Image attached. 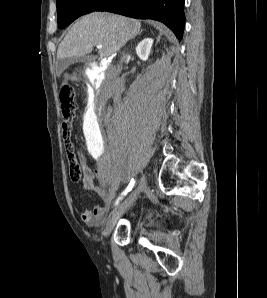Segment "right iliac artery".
I'll return each mask as SVG.
<instances>
[{"instance_id": "82829eb1", "label": "right iliac artery", "mask_w": 267, "mask_h": 298, "mask_svg": "<svg viewBox=\"0 0 267 298\" xmlns=\"http://www.w3.org/2000/svg\"><path fill=\"white\" fill-rule=\"evenodd\" d=\"M133 186H134V179H131V182H130L129 185L127 186L126 190L123 191V192L119 195V197L116 199V201L114 202V207L117 206V205L120 203V201L127 195V193H128L129 191L132 190Z\"/></svg>"}]
</instances>
